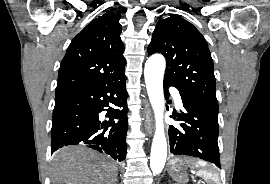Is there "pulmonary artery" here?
<instances>
[{
    "label": "pulmonary artery",
    "instance_id": "obj_1",
    "mask_svg": "<svg viewBox=\"0 0 270 184\" xmlns=\"http://www.w3.org/2000/svg\"><path fill=\"white\" fill-rule=\"evenodd\" d=\"M173 94H174V98H175V102L178 108H182V101L181 98L178 94V92L176 90H172Z\"/></svg>",
    "mask_w": 270,
    "mask_h": 184
}]
</instances>
